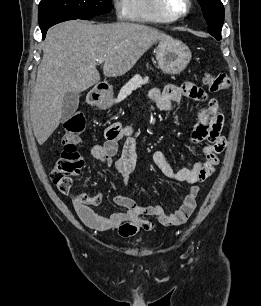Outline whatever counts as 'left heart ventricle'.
Listing matches in <instances>:
<instances>
[{
  "instance_id": "1",
  "label": "left heart ventricle",
  "mask_w": 261,
  "mask_h": 306,
  "mask_svg": "<svg viewBox=\"0 0 261 306\" xmlns=\"http://www.w3.org/2000/svg\"><path fill=\"white\" fill-rule=\"evenodd\" d=\"M167 3L170 10L174 13H180L186 7L184 0H167Z\"/></svg>"
}]
</instances>
